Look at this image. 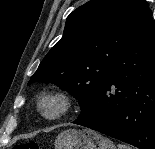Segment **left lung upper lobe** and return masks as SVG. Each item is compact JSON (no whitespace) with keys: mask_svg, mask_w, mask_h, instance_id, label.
I'll list each match as a JSON object with an SVG mask.
<instances>
[{"mask_svg":"<svg viewBox=\"0 0 155 149\" xmlns=\"http://www.w3.org/2000/svg\"><path fill=\"white\" fill-rule=\"evenodd\" d=\"M145 0H91L74 10L64 34L30 78L53 83L86 108L106 80L115 58L146 14Z\"/></svg>","mask_w":155,"mask_h":149,"instance_id":"obj_1","label":"left lung upper lobe"}]
</instances>
